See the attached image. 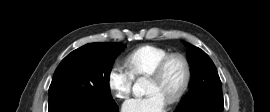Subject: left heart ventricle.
<instances>
[{
  "mask_svg": "<svg viewBox=\"0 0 270 112\" xmlns=\"http://www.w3.org/2000/svg\"><path fill=\"white\" fill-rule=\"evenodd\" d=\"M184 78V66L180 61H173L164 78L156 81L149 78L147 94L157 93L168 101L180 88Z\"/></svg>",
  "mask_w": 270,
  "mask_h": 112,
  "instance_id": "1",
  "label": "left heart ventricle"
}]
</instances>
